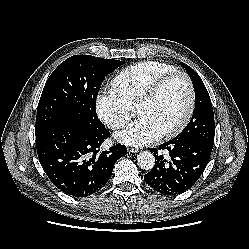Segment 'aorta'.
Masks as SVG:
<instances>
[{"label": "aorta", "instance_id": "aorta-1", "mask_svg": "<svg viewBox=\"0 0 249 249\" xmlns=\"http://www.w3.org/2000/svg\"><path fill=\"white\" fill-rule=\"evenodd\" d=\"M137 164L143 170H151L155 165V157L151 152L142 151L137 155Z\"/></svg>", "mask_w": 249, "mask_h": 249}]
</instances>
